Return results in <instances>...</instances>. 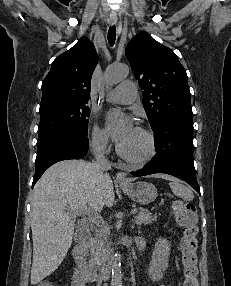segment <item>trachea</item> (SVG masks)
Here are the masks:
<instances>
[{
    "label": "trachea",
    "instance_id": "1",
    "mask_svg": "<svg viewBox=\"0 0 231 286\" xmlns=\"http://www.w3.org/2000/svg\"><path fill=\"white\" fill-rule=\"evenodd\" d=\"M115 40H116V27L115 25H113L108 30V42L110 46H113L115 44Z\"/></svg>",
    "mask_w": 231,
    "mask_h": 286
}]
</instances>
